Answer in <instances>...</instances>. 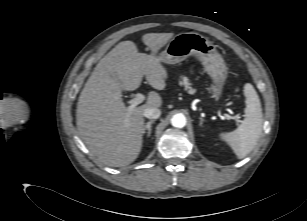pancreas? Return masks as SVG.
<instances>
[{
	"label": "pancreas",
	"instance_id": "pancreas-1",
	"mask_svg": "<svg viewBox=\"0 0 307 221\" xmlns=\"http://www.w3.org/2000/svg\"><path fill=\"white\" fill-rule=\"evenodd\" d=\"M179 84L183 85L189 93L193 94L195 92V89L191 87V83L187 77H182V81H180Z\"/></svg>",
	"mask_w": 307,
	"mask_h": 221
}]
</instances>
